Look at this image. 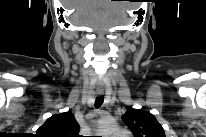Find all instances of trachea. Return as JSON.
Returning a JSON list of instances; mask_svg holds the SVG:
<instances>
[{"label": "trachea", "mask_w": 206, "mask_h": 137, "mask_svg": "<svg viewBox=\"0 0 206 137\" xmlns=\"http://www.w3.org/2000/svg\"><path fill=\"white\" fill-rule=\"evenodd\" d=\"M104 98L103 96L97 97L95 100V107L99 108L103 104Z\"/></svg>", "instance_id": "trachea-1"}]
</instances>
